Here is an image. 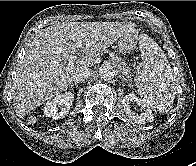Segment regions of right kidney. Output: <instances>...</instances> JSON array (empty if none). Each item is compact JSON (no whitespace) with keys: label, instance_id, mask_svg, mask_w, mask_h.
Returning a JSON list of instances; mask_svg holds the SVG:
<instances>
[{"label":"right kidney","instance_id":"obj_1","mask_svg":"<svg viewBox=\"0 0 196 166\" xmlns=\"http://www.w3.org/2000/svg\"><path fill=\"white\" fill-rule=\"evenodd\" d=\"M73 99L74 94L72 92H65L57 95L45 104L44 115L54 120L63 118L69 113Z\"/></svg>","mask_w":196,"mask_h":166}]
</instances>
